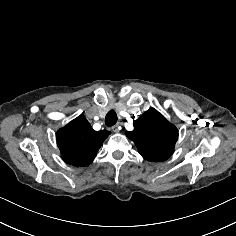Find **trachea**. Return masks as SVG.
<instances>
[{
	"label": "trachea",
	"mask_w": 236,
	"mask_h": 236,
	"mask_svg": "<svg viewBox=\"0 0 236 236\" xmlns=\"http://www.w3.org/2000/svg\"><path fill=\"white\" fill-rule=\"evenodd\" d=\"M117 122V114L114 110H110L105 117V124L108 127L115 125Z\"/></svg>",
	"instance_id": "trachea-1"
}]
</instances>
